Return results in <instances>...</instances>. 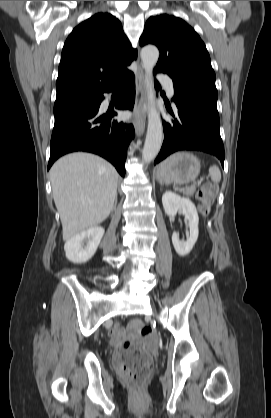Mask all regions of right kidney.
<instances>
[{
	"instance_id": "right-kidney-1",
	"label": "right kidney",
	"mask_w": 271,
	"mask_h": 418,
	"mask_svg": "<svg viewBox=\"0 0 271 418\" xmlns=\"http://www.w3.org/2000/svg\"><path fill=\"white\" fill-rule=\"evenodd\" d=\"M104 235V229L91 227L66 241V257L73 263H84L93 257Z\"/></svg>"
}]
</instances>
